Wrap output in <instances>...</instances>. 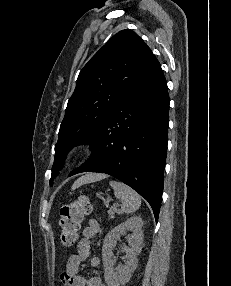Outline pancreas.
Masks as SVG:
<instances>
[{
  "label": "pancreas",
  "mask_w": 231,
  "mask_h": 286,
  "mask_svg": "<svg viewBox=\"0 0 231 286\" xmlns=\"http://www.w3.org/2000/svg\"><path fill=\"white\" fill-rule=\"evenodd\" d=\"M119 212H120V211L117 210L115 207H111V208L107 211V213H108V215H109V219L114 218L115 213H119Z\"/></svg>",
  "instance_id": "cf45deb5"
}]
</instances>
